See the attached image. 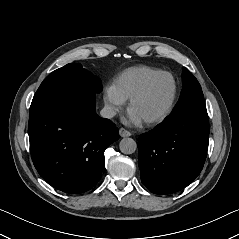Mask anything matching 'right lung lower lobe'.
<instances>
[{"label": "right lung lower lobe", "instance_id": "right-lung-lower-lobe-1", "mask_svg": "<svg viewBox=\"0 0 239 239\" xmlns=\"http://www.w3.org/2000/svg\"><path fill=\"white\" fill-rule=\"evenodd\" d=\"M31 156L40 176L54 188L79 194L102 175L105 149L118 140L115 124L95 111V93L74 88L30 108Z\"/></svg>", "mask_w": 239, "mask_h": 239}]
</instances>
